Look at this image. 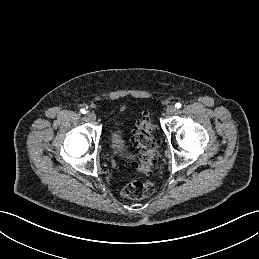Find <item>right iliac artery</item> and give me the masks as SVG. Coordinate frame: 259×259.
Returning a JSON list of instances; mask_svg holds the SVG:
<instances>
[{"label":"right iliac artery","mask_w":259,"mask_h":259,"mask_svg":"<svg viewBox=\"0 0 259 259\" xmlns=\"http://www.w3.org/2000/svg\"><path fill=\"white\" fill-rule=\"evenodd\" d=\"M80 112H81L82 114H86V113H87V111H86L85 109H81Z\"/></svg>","instance_id":"1"}]
</instances>
